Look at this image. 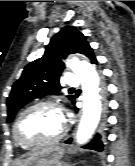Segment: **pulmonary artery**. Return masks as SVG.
<instances>
[{"label": "pulmonary artery", "mask_w": 135, "mask_h": 166, "mask_svg": "<svg viewBox=\"0 0 135 166\" xmlns=\"http://www.w3.org/2000/svg\"><path fill=\"white\" fill-rule=\"evenodd\" d=\"M65 78V83L67 86L74 87L79 84V79L72 72H67L65 74Z\"/></svg>", "instance_id": "1"}]
</instances>
